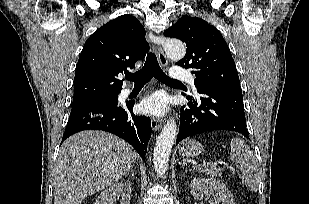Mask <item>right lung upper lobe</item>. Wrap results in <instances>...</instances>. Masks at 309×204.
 I'll return each mask as SVG.
<instances>
[{"label": "right lung upper lobe", "mask_w": 309, "mask_h": 204, "mask_svg": "<svg viewBox=\"0 0 309 204\" xmlns=\"http://www.w3.org/2000/svg\"><path fill=\"white\" fill-rule=\"evenodd\" d=\"M149 50L145 29L132 15H122L100 27L85 42L76 66L73 105L120 93L117 77L134 68Z\"/></svg>", "instance_id": "1"}]
</instances>
